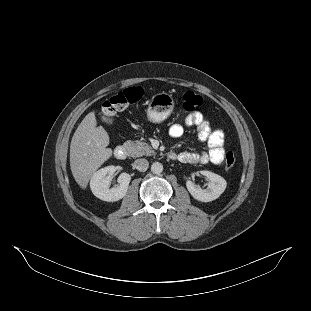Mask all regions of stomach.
<instances>
[{"label": "stomach", "mask_w": 311, "mask_h": 311, "mask_svg": "<svg viewBox=\"0 0 311 311\" xmlns=\"http://www.w3.org/2000/svg\"><path fill=\"white\" fill-rule=\"evenodd\" d=\"M174 103L171 95L161 93L154 96L147 108V117L150 121L159 123L165 120L172 112Z\"/></svg>", "instance_id": "0dacf381"}]
</instances>
